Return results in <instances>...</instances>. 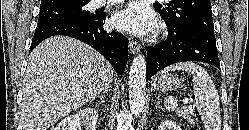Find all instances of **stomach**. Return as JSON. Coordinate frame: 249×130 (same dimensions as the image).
<instances>
[{"instance_id":"stomach-1","label":"stomach","mask_w":249,"mask_h":130,"mask_svg":"<svg viewBox=\"0 0 249 130\" xmlns=\"http://www.w3.org/2000/svg\"><path fill=\"white\" fill-rule=\"evenodd\" d=\"M181 85L178 76L170 73H161L154 77L152 86L155 90L168 91L174 90Z\"/></svg>"}]
</instances>
